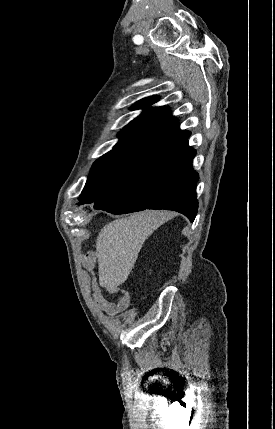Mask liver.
I'll use <instances>...</instances> for the list:
<instances>
[{
	"label": "liver",
	"instance_id": "6515ba94",
	"mask_svg": "<svg viewBox=\"0 0 275 429\" xmlns=\"http://www.w3.org/2000/svg\"><path fill=\"white\" fill-rule=\"evenodd\" d=\"M171 216L166 211L146 210L105 225L96 240L100 285L116 292L127 280L145 240Z\"/></svg>",
	"mask_w": 275,
	"mask_h": 429
}]
</instances>
